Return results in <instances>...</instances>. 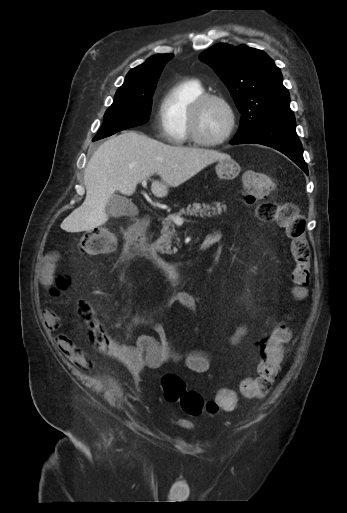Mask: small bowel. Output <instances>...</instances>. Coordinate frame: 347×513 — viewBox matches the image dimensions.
Returning a JSON list of instances; mask_svg holds the SVG:
<instances>
[{
  "label": "small bowel",
  "mask_w": 347,
  "mask_h": 513,
  "mask_svg": "<svg viewBox=\"0 0 347 513\" xmlns=\"http://www.w3.org/2000/svg\"><path fill=\"white\" fill-rule=\"evenodd\" d=\"M213 233L218 237L216 232ZM54 267L55 259L51 258L44 264L42 269V284L46 288H50L53 284ZM168 305L182 306L190 313L196 310L195 297L187 291L178 292L173 295ZM57 321L58 317L54 311L49 310L46 312L45 322L50 327H54ZM152 329L157 334V338L149 335H140L134 345H118L113 351H110L111 356L118 363L126 367L135 378L140 377L146 368H159L169 362H182L189 370L195 373H206L210 369V359L205 351L193 350L179 353L173 346L171 335L162 325L154 323L152 324ZM246 333L247 328L245 326L239 327L229 337V344L231 346L238 345L245 338ZM56 345L64 355L79 361L81 366L87 364L85 357L68 337L58 336Z\"/></svg>",
  "instance_id": "small-bowel-1"
}]
</instances>
